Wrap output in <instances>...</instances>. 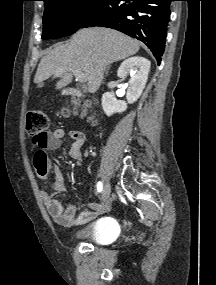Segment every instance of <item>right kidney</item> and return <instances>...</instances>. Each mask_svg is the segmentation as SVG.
I'll return each mask as SVG.
<instances>
[{"label":"right kidney","instance_id":"right-kidney-1","mask_svg":"<svg viewBox=\"0 0 216 285\" xmlns=\"http://www.w3.org/2000/svg\"><path fill=\"white\" fill-rule=\"evenodd\" d=\"M150 61L144 57H130L122 62L117 76L125 79L128 73H131V79L128 82L126 94L127 102L116 100L114 95L106 92L102 96V107L107 116H112L114 113H122L127 109V104H132L141 96L150 70Z\"/></svg>","mask_w":216,"mask_h":285}]
</instances>
